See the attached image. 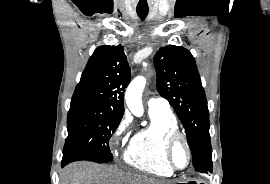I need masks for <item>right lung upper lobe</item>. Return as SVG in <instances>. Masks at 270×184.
<instances>
[{"mask_svg":"<svg viewBox=\"0 0 270 184\" xmlns=\"http://www.w3.org/2000/svg\"><path fill=\"white\" fill-rule=\"evenodd\" d=\"M131 81L123 46H100L90 57L71 102H85L122 118L125 88Z\"/></svg>","mask_w":270,"mask_h":184,"instance_id":"obj_1","label":"right lung upper lobe"}]
</instances>
